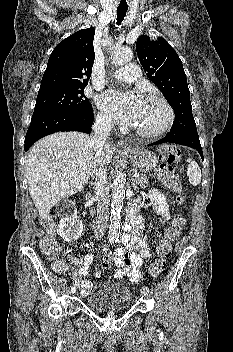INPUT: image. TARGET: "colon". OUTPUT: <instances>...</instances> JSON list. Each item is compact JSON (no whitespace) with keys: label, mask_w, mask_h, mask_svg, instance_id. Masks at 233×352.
Masks as SVG:
<instances>
[{"label":"colon","mask_w":233,"mask_h":352,"mask_svg":"<svg viewBox=\"0 0 233 352\" xmlns=\"http://www.w3.org/2000/svg\"><path fill=\"white\" fill-rule=\"evenodd\" d=\"M180 160V150L175 146H164L159 152V164L156 169L158 180L166 187L173 189L177 193V201L182 205L185 196L182 192L178 176L173 168V164ZM185 219L175 216L170 225L165 229L162 238L156 245L155 254L149 263V273L152 276L161 274L166 265V259L170 256L173 242L179 237L185 227ZM46 234L40 239L39 247L42 253L50 260L54 261L53 267L56 271L62 272L66 269L63 262L57 261L59 245L56 241V226L52 219H48L46 224ZM113 261L109 255H105L100 260L97 274L107 271L112 267Z\"/></svg>","instance_id":"obj_1"}]
</instances>
